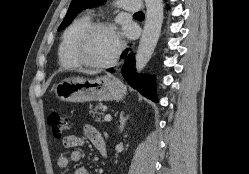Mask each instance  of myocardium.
<instances>
[{
    "label": "myocardium",
    "instance_id": "1",
    "mask_svg": "<svg viewBox=\"0 0 249 174\" xmlns=\"http://www.w3.org/2000/svg\"><path fill=\"white\" fill-rule=\"evenodd\" d=\"M99 30H108V31L114 32L117 35V49L113 57L109 61L104 62V63H93L86 58L84 49H85V46H86V43L89 37L94 32L99 31ZM122 49H123V43L118 34L117 28L111 23L96 22V23H90L80 34V36L78 37L75 43L74 54L82 66L90 68V69L102 70V69L110 68L117 63L121 55Z\"/></svg>",
    "mask_w": 249,
    "mask_h": 174
}]
</instances>
